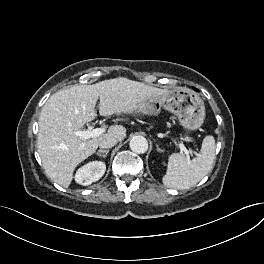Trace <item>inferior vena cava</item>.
Instances as JSON below:
<instances>
[{"label": "inferior vena cava", "instance_id": "602c4592", "mask_svg": "<svg viewBox=\"0 0 264 264\" xmlns=\"http://www.w3.org/2000/svg\"><path fill=\"white\" fill-rule=\"evenodd\" d=\"M117 144V139L114 137H106L103 138L100 143H99V147L102 149H107V148H111L113 146H115Z\"/></svg>", "mask_w": 264, "mask_h": 264}]
</instances>
